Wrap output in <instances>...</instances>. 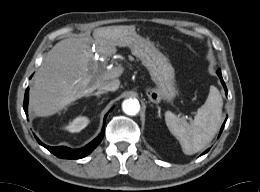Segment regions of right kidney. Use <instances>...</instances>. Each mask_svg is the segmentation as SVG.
Masks as SVG:
<instances>
[{"label":"right kidney","instance_id":"right-kidney-1","mask_svg":"<svg viewBox=\"0 0 260 192\" xmlns=\"http://www.w3.org/2000/svg\"><path fill=\"white\" fill-rule=\"evenodd\" d=\"M89 123L88 118L86 117H77L74 119L68 126L67 130L70 132H80L82 129H84Z\"/></svg>","mask_w":260,"mask_h":192}]
</instances>
